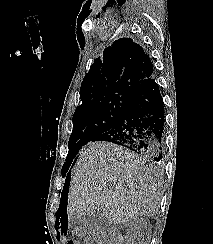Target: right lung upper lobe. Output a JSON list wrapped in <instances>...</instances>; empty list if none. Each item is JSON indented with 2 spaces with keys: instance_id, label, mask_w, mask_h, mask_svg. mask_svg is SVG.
Listing matches in <instances>:
<instances>
[{
  "instance_id": "1",
  "label": "right lung upper lobe",
  "mask_w": 213,
  "mask_h": 244,
  "mask_svg": "<svg viewBox=\"0 0 213 244\" xmlns=\"http://www.w3.org/2000/svg\"><path fill=\"white\" fill-rule=\"evenodd\" d=\"M153 76L152 62L144 49L131 38L118 39L104 50L102 60H94L85 75L78 107L108 95L134 97Z\"/></svg>"
}]
</instances>
